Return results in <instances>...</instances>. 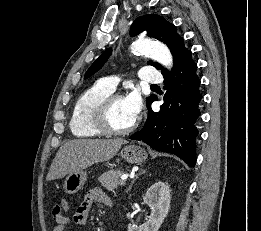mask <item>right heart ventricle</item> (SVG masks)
Returning <instances> with one entry per match:
<instances>
[{
  "mask_svg": "<svg viewBox=\"0 0 261 231\" xmlns=\"http://www.w3.org/2000/svg\"><path fill=\"white\" fill-rule=\"evenodd\" d=\"M113 93L103 84H96L86 90L76 101L70 115V129L79 138L97 137L104 133L93 124L95 107L108 95Z\"/></svg>",
  "mask_w": 261,
  "mask_h": 231,
  "instance_id": "obj_1",
  "label": "right heart ventricle"
}]
</instances>
